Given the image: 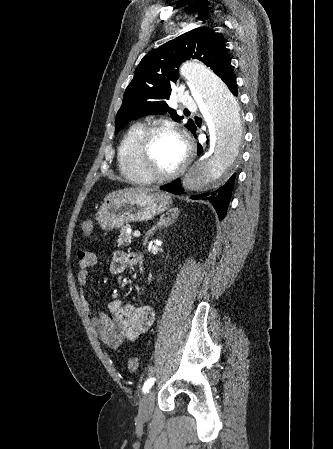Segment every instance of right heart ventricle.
Listing matches in <instances>:
<instances>
[{"instance_id": "right-heart-ventricle-1", "label": "right heart ventricle", "mask_w": 333, "mask_h": 449, "mask_svg": "<svg viewBox=\"0 0 333 449\" xmlns=\"http://www.w3.org/2000/svg\"><path fill=\"white\" fill-rule=\"evenodd\" d=\"M146 125L142 122L132 124L125 132L118 146L117 158L124 177L138 182H150L139 170L137 163V144Z\"/></svg>"}]
</instances>
